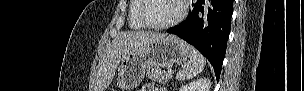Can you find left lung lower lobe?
Wrapping results in <instances>:
<instances>
[{
  "label": "left lung lower lobe",
  "mask_w": 304,
  "mask_h": 91,
  "mask_svg": "<svg viewBox=\"0 0 304 91\" xmlns=\"http://www.w3.org/2000/svg\"><path fill=\"white\" fill-rule=\"evenodd\" d=\"M233 0H197L185 21L169 28L175 34L198 49L211 63L219 80L224 60Z\"/></svg>",
  "instance_id": "left-lung-lower-lobe-1"
}]
</instances>
